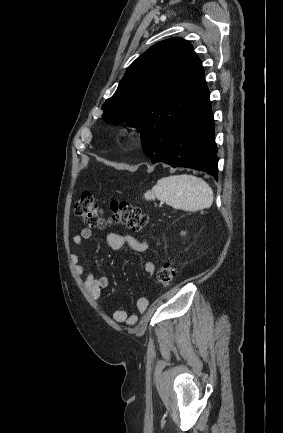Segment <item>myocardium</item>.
Returning a JSON list of instances; mask_svg holds the SVG:
<instances>
[{
	"label": "myocardium",
	"instance_id": "1",
	"mask_svg": "<svg viewBox=\"0 0 283 433\" xmlns=\"http://www.w3.org/2000/svg\"><path fill=\"white\" fill-rule=\"evenodd\" d=\"M139 133V128L136 125H130L125 129L126 137H134Z\"/></svg>",
	"mask_w": 283,
	"mask_h": 433
}]
</instances>
